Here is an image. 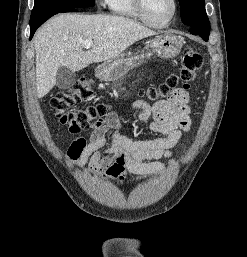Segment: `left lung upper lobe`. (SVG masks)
Listing matches in <instances>:
<instances>
[{"mask_svg":"<svg viewBox=\"0 0 247 257\" xmlns=\"http://www.w3.org/2000/svg\"><path fill=\"white\" fill-rule=\"evenodd\" d=\"M182 22L189 27L197 26L210 31L204 0H179Z\"/></svg>","mask_w":247,"mask_h":257,"instance_id":"1","label":"left lung upper lobe"}]
</instances>
